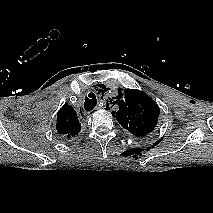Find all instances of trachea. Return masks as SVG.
Segmentation results:
<instances>
[{
  "mask_svg": "<svg viewBox=\"0 0 213 213\" xmlns=\"http://www.w3.org/2000/svg\"><path fill=\"white\" fill-rule=\"evenodd\" d=\"M96 104H97L96 96L93 93H89L88 97H86V99H85L84 108L87 111H91L94 109Z\"/></svg>",
  "mask_w": 213,
  "mask_h": 213,
  "instance_id": "3493384b",
  "label": "trachea"
}]
</instances>
